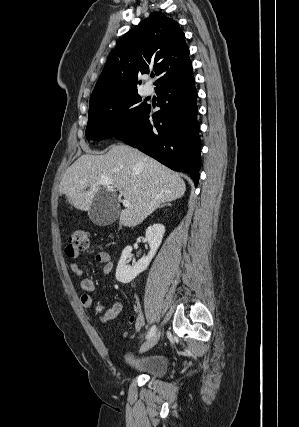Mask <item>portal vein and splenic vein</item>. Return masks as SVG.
Instances as JSON below:
<instances>
[{"label":"portal vein and splenic vein","instance_id":"18ae733b","mask_svg":"<svg viewBox=\"0 0 299 427\" xmlns=\"http://www.w3.org/2000/svg\"><path fill=\"white\" fill-rule=\"evenodd\" d=\"M111 184V180L109 178H102L101 180L98 181V183H96V185H104V186H109ZM121 198V195H120ZM122 204L125 207H129L130 206V202L126 199H122Z\"/></svg>","mask_w":299,"mask_h":427}]
</instances>
